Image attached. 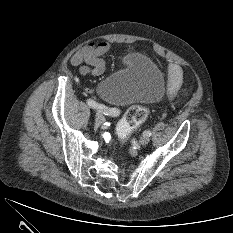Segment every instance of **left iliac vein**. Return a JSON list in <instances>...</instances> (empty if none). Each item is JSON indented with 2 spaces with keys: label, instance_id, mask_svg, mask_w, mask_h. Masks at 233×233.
Here are the masks:
<instances>
[{
  "label": "left iliac vein",
  "instance_id": "left-iliac-vein-1",
  "mask_svg": "<svg viewBox=\"0 0 233 233\" xmlns=\"http://www.w3.org/2000/svg\"><path fill=\"white\" fill-rule=\"evenodd\" d=\"M149 141H150V138H149V136H147V135H143V136H141L140 139H139V143H140L141 145H146V144L149 143Z\"/></svg>",
  "mask_w": 233,
  "mask_h": 233
}]
</instances>
